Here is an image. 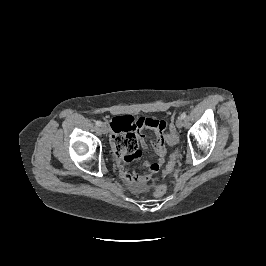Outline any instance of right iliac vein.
<instances>
[{
	"instance_id": "obj_1",
	"label": "right iliac vein",
	"mask_w": 266,
	"mask_h": 266,
	"mask_svg": "<svg viewBox=\"0 0 266 266\" xmlns=\"http://www.w3.org/2000/svg\"><path fill=\"white\" fill-rule=\"evenodd\" d=\"M100 129L102 131V133L106 134L108 132V127L105 124H102L100 126Z\"/></svg>"
}]
</instances>
